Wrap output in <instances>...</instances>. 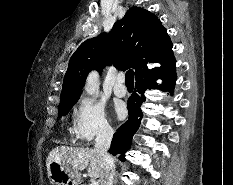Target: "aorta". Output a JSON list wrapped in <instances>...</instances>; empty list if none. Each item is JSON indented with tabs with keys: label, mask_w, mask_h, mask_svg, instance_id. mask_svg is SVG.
<instances>
[{
	"label": "aorta",
	"mask_w": 233,
	"mask_h": 185,
	"mask_svg": "<svg viewBox=\"0 0 233 185\" xmlns=\"http://www.w3.org/2000/svg\"><path fill=\"white\" fill-rule=\"evenodd\" d=\"M99 90V77L96 72H91L88 77L87 81L85 84V91L89 94L92 95L95 92Z\"/></svg>",
	"instance_id": "obj_1"
}]
</instances>
